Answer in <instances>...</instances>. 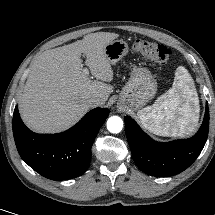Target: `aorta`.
I'll list each match as a JSON object with an SVG mask.
<instances>
[{
    "mask_svg": "<svg viewBox=\"0 0 215 215\" xmlns=\"http://www.w3.org/2000/svg\"><path fill=\"white\" fill-rule=\"evenodd\" d=\"M123 128V121L118 116H112L107 121V129L111 133H119Z\"/></svg>",
    "mask_w": 215,
    "mask_h": 215,
    "instance_id": "1",
    "label": "aorta"
}]
</instances>
